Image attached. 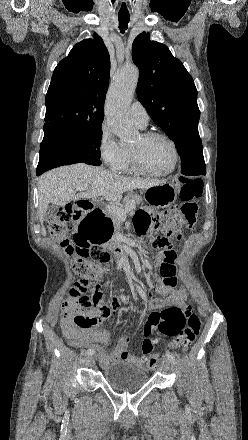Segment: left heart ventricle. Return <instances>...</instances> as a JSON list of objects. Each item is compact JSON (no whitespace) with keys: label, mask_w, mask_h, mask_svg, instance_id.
<instances>
[{"label":"left heart ventricle","mask_w":248,"mask_h":440,"mask_svg":"<svg viewBox=\"0 0 248 440\" xmlns=\"http://www.w3.org/2000/svg\"><path fill=\"white\" fill-rule=\"evenodd\" d=\"M132 147L138 148L141 151L143 163L150 171L163 172L172 165V147L162 138L143 141L141 136H139Z\"/></svg>","instance_id":"b2bd125f"}]
</instances>
